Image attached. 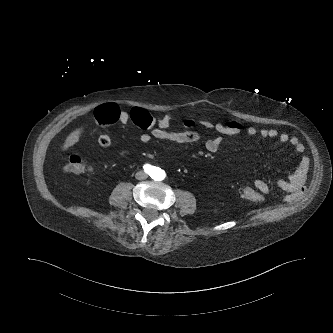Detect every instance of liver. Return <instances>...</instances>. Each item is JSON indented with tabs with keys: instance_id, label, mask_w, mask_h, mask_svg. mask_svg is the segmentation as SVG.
<instances>
[{
	"instance_id": "6515ba94",
	"label": "liver",
	"mask_w": 333,
	"mask_h": 333,
	"mask_svg": "<svg viewBox=\"0 0 333 333\" xmlns=\"http://www.w3.org/2000/svg\"><path fill=\"white\" fill-rule=\"evenodd\" d=\"M82 133H83V127L77 128L76 130H74L73 132H71L67 136V138H66V140H65V142H64V144H63V146L61 148L62 151H67L70 147H72L76 143H78V141H79L80 136L82 135Z\"/></svg>"
}]
</instances>
